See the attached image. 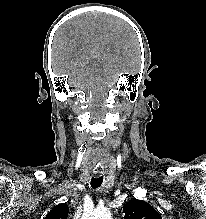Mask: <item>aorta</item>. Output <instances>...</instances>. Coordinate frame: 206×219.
<instances>
[{"mask_svg":"<svg viewBox=\"0 0 206 219\" xmlns=\"http://www.w3.org/2000/svg\"><path fill=\"white\" fill-rule=\"evenodd\" d=\"M82 219H112V215L108 209L103 208L84 214Z\"/></svg>","mask_w":206,"mask_h":219,"instance_id":"762f6f07","label":"aorta"}]
</instances>
